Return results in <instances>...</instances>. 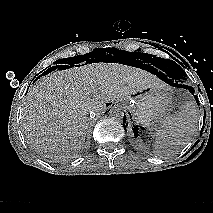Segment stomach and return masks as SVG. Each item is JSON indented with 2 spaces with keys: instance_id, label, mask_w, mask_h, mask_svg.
<instances>
[{
  "instance_id": "stomach-1",
  "label": "stomach",
  "mask_w": 213,
  "mask_h": 213,
  "mask_svg": "<svg viewBox=\"0 0 213 213\" xmlns=\"http://www.w3.org/2000/svg\"><path fill=\"white\" fill-rule=\"evenodd\" d=\"M137 125L155 128L172 109V101L164 87H151L124 99Z\"/></svg>"
}]
</instances>
